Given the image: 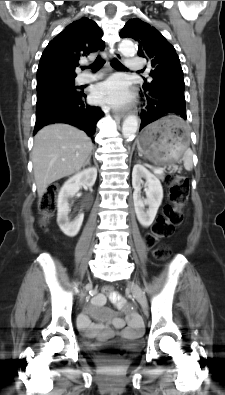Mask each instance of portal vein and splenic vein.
Instances as JSON below:
<instances>
[{
	"label": "portal vein and splenic vein",
	"mask_w": 225,
	"mask_h": 395,
	"mask_svg": "<svg viewBox=\"0 0 225 395\" xmlns=\"http://www.w3.org/2000/svg\"><path fill=\"white\" fill-rule=\"evenodd\" d=\"M162 171H163L162 168H155V169L153 170V172L156 173V174L162 173Z\"/></svg>",
	"instance_id": "18ae733b"
}]
</instances>
